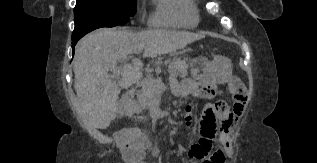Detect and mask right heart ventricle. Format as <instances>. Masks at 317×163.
<instances>
[{"label":"right heart ventricle","instance_id":"1","mask_svg":"<svg viewBox=\"0 0 317 163\" xmlns=\"http://www.w3.org/2000/svg\"><path fill=\"white\" fill-rule=\"evenodd\" d=\"M154 9L149 23L153 27L191 29L199 22L195 0H151Z\"/></svg>","mask_w":317,"mask_h":163}]
</instances>
